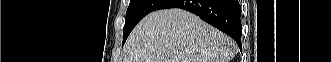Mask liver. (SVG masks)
Listing matches in <instances>:
<instances>
[{"label":"liver","mask_w":331,"mask_h":62,"mask_svg":"<svg viewBox=\"0 0 331 62\" xmlns=\"http://www.w3.org/2000/svg\"><path fill=\"white\" fill-rule=\"evenodd\" d=\"M124 51V62H229L237 45L198 16L174 8L144 17Z\"/></svg>","instance_id":"6515ba94"}]
</instances>
